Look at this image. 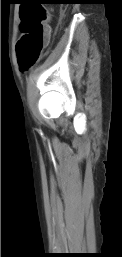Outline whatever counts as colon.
<instances>
[{"label": "colon", "instance_id": "5ec220e1", "mask_svg": "<svg viewBox=\"0 0 122 257\" xmlns=\"http://www.w3.org/2000/svg\"><path fill=\"white\" fill-rule=\"evenodd\" d=\"M20 10L21 37L17 52L21 67L27 68L39 58L48 43V12L44 5H20Z\"/></svg>", "mask_w": 122, "mask_h": 257}]
</instances>
